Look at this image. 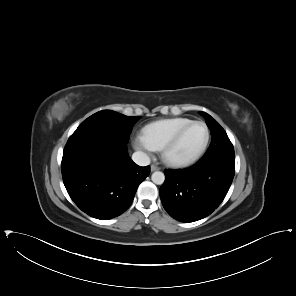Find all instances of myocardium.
<instances>
[{"mask_svg": "<svg viewBox=\"0 0 296 296\" xmlns=\"http://www.w3.org/2000/svg\"><path fill=\"white\" fill-rule=\"evenodd\" d=\"M193 125H201L205 129V139L201 146V148L192 156L186 157V158H171L169 157V151L170 149L178 142L181 135L190 127ZM210 139V131L208 126L203 122L199 120H193L181 127L179 130H177L164 144L162 147V158L163 160L172 166H185L194 163L197 161L206 151L208 143Z\"/></svg>", "mask_w": 296, "mask_h": 296, "instance_id": "obj_1", "label": "myocardium"}]
</instances>
